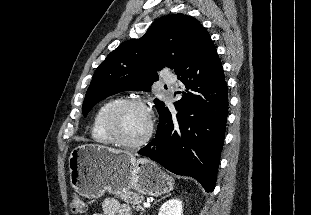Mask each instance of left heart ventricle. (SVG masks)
<instances>
[{
    "label": "left heart ventricle",
    "instance_id": "obj_1",
    "mask_svg": "<svg viewBox=\"0 0 311 215\" xmlns=\"http://www.w3.org/2000/svg\"><path fill=\"white\" fill-rule=\"evenodd\" d=\"M148 129V114L139 106H130L123 110L119 118L121 136L129 141L136 142L144 137Z\"/></svg>",
    "mask_w": 311,
    "mask_h": 215
}]
</instances>
